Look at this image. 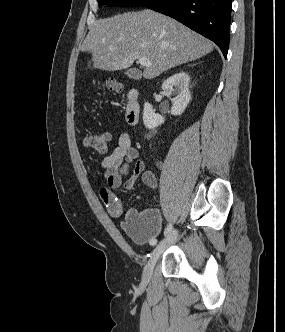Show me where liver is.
<instances>
[{"mask_svg": "<svg viewBox=\"0 0 285 332\" xmlns=\"http://www.w3.org/2000/svg\"><path fill=\"white\" fill-rule=\"evenodd\" d=\"M213 48V43L202 35L149 9L95 21L80 47L91 53L93 68L105 71L126 69L135 60L146 58L151 66L143 72L145 79L197 60Z\"/></svg>", "mask_w": 285, "mask_h": 332, "instance_id": "obj_1", "label": "liver"}]
</instances>
